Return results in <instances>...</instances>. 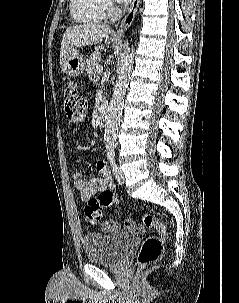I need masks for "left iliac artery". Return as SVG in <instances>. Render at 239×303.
I'll list each match as a JSON object with an SVG mask.
<instances>
[{"mask_svg": "<svg viewBox=\"0 0 239 303\" xmlns=\"http://www.w3.org/2000/svg\"><path fill=\"white\" fill-rule=\"evenodd\" d=\"M115 147L116 145L114 142H109L107 144V158L114 172L117 169V164L115 161Z\"/></svg>", "mask_w": 239, "mask_h": 303, "instance_id": "left-iliac-artery-1", "label": "left iliac artery"}]
</instances>
